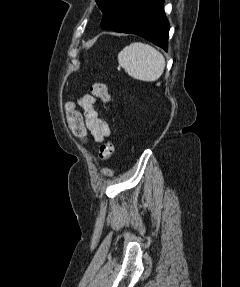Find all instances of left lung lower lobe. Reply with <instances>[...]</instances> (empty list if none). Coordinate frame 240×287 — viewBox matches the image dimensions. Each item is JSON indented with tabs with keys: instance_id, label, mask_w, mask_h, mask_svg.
I'll return each instance as SVG.
<instances>
[{
	"instance_id": "obj_1",
	"label": "left lung lower lobe",
	"mask_w": 240,
	"mask_h": 287,
	"mask_svg": "<svg viewBox=\"0 0 240 287\" xmlns=\"http://www.w3.org/2000/svg\"><path fill=\"white\" fill-rule=\"evenodd\" d=\"M164 0H108L101 28L144 37L167 51L169 23Z\"/></svg>"
}]
</instances>
